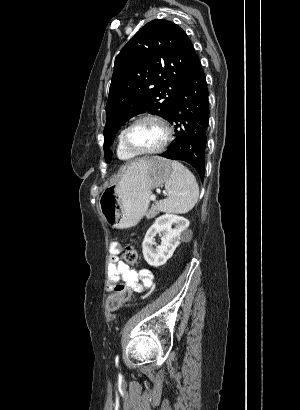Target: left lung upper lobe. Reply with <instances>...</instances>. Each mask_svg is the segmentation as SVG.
Segmentation results:
<instances>
[{"label": "left lung upper lobe", "mask_w": 300, "mask_h": 410, "mask_svg": "<svg viewBox=\"0 0 300 410\" xmlns=\"http://www.w3.org/2000/svg\"><path fill=\"white\" fill-rule=\"evenodd\" d=\"M197 54L186 33L158 19L143 26L116 56L106 105L105 160L121 126L146 111L168 119Z\"/></svg>", "instance_id": "left-lung-upper-lobe-1"}]
</instances>
